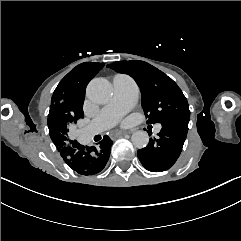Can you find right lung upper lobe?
Instances as JSON below:
<instances>
[{
	"label": "right lung upper lobe",
	"instance_id": "right-lung-upper-lobe-1",
	"mask_svg": "<svg viewBox=\"0 0 241 241\" xmlns=\"http://www.w3.org/2000/svg\"><path fill=\"white\" fill-rule=\"evenodd\" d=\"M73 124L57 116L48 115L49 135L57 148L67 146L73 142L69 132Z\"/></svg>",
	"mask_w": 241,
	"mask_h": 241
}]
</instances>
